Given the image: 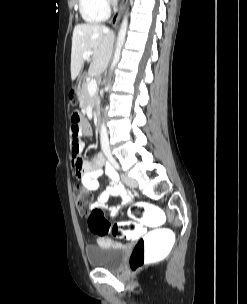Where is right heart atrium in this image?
<instances>
[{
  "label": "right heart atrium",
  "mask_w": 247,
  "mask_h": 304,
  "mask_svg": "<svg viewBox=\"0 0 247 304\" xmlns=\"http://www.w3.org/2000/svg\"><path fill=\"white\" fill-rule=\"evenodd\" d=\"M101 1H102L103 6L108 9L110 7V5L112 4L113 0H101Z\"/></svg>",
  "instance_id": "d8ad5b80"
}]
</instances>
